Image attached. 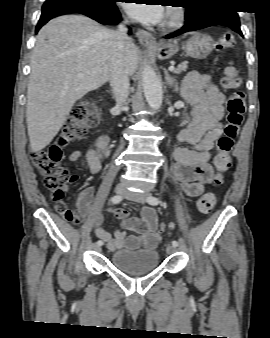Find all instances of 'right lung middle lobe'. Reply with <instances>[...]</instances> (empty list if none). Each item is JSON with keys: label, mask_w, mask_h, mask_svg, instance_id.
Here are the masks:
<instances>
[{"label": "right lung middle lobe", "mask_w": 270, "mask_h": 338, "mask_svg": "<svg viewBox=\"0 0 270 338\" xmlns=\"http://www.w3.org/2000/svg\"><path fill=\"white\" fill-rule=\"evenodd\" d=\"M47 1H56V0H47ZM83 1L100 3V4H109L113 0H83Z\"/></svg>", "instance_id": "obj_1"}]
</instances>
